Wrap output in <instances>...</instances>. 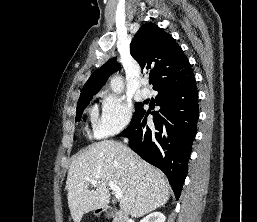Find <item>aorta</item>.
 I'll list each match as a JSON object with an SVG mask.
<instances>
[{
  "instance_id": "obj_1",
  "label": "aorta",
  "mask_w": 257,
  "mask_h": 222,
  "mask_svg": "<svg viewBox=\"0 0 257 222\" xmlns=\"http://www.w3.org/2000/svg\"><path fill=\"white\" fill-rule=\"evenodd\" d=\"M110 88L115 94H120L124 89V83L120 76H114L110 80Z\"/></svg>"
}]
</instances>
